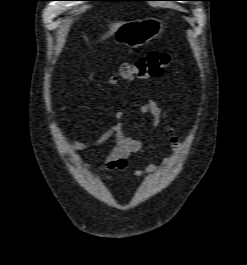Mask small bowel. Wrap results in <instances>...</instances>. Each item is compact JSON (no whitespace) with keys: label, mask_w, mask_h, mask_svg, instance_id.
<instances>
[{"label":"small bowel","mask_w":247,"mask_h":265,"mask_svg":"<svg viewBox=\"0 0 247 265\" xmlns=\"http://www.w3.org/2000/svg\"><path fill=\"white\" fill-rule=\"evenodd\" d=\"M140 117L149 115L151 118L152 130L156 131L161 121L164 120L166 129L170 135V142L175 150L179 152L181 149V142L175 133V129L170 123L168 114L159 104L150 99L139 108ZM110 139H114L115 145L112 151L105 157L103 162L98 165L97 169L100 173L117 170L124 172L128 168V157L131 153L143 149L149 140L137 139L131 134H128L125 129L123 121V112L118 111L110 127L90 143L75 141L72 144L74 156L77 161L86 167H91L93 164L82 159L81 152L103 145ZM172 160V157H165L159 163H149L145 167L137 169L134 174L138 177L155 172L160 166H166ZM107 182H111L110 176L105 177Z\"/></svg>","instance_id":"c3829d8e"}]
</instances>
